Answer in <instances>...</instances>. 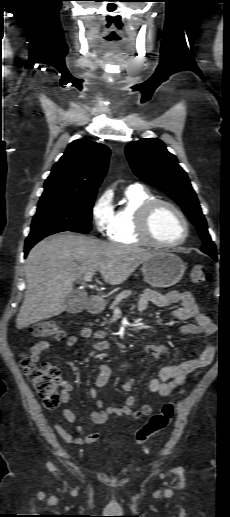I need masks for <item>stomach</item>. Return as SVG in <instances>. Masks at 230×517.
I'll use <instances>...</instances> for the list:
<instances>
[{
  "mask_svg": "<svg viewBox=\"0 0 230 517\" xmlns=\"http://www.w3.org/2000/svg\"><path fill=\"white\" fill-rule=\"evenodd\" d=\"M185 264L175 254L158 251L142 263L144 280L155 288H166L178 283L185 272Z\"/></svg>",
  "mask_w": 230,
  "mask_h": 517,
  "instance_id": "obj_1",
  "label": "stomach"
}]
</instances>
